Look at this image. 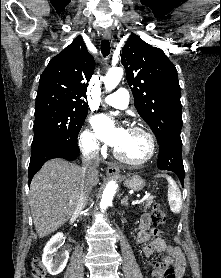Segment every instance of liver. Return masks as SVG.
<instances>
[{"label": "liver", "mask_w": 221, "mask_h": 278, "mask_svg": "<svg viewBox=\"0 0 221 278\" xmlns=\"http://www.w3.org/2000/svg\"><path fill=\"white\" fill-rule=\"evenodd\" d=\"M99 181L98 175L92 185ZM83 168L63 159L46 162L30 185V207L36 232L43 238L64 225L77 206Z\"/></svg>", "instance_id": "1"}]
</instances>
